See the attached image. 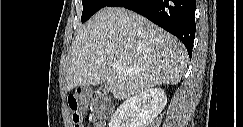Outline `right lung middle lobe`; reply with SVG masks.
<instances>
[{"mask_svg":"<svg viewBox=\"0 0 243 127\" xmlns=\"http://www.w3.org/2000/svg\"><path fill=\"white\" fill-rule=\"evenodd\" d=\"M113 0H82L83 12L81 21H87L93 14L101 8L108 6Z\"/></svg>","mask_w":243,"mask_h":127,"instance_id":"right-lung-middle-lobe-1","label":"right lung middle lobe"}]
</instances>
